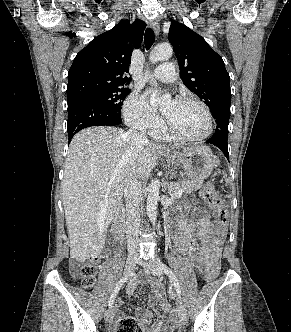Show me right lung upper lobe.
Returning a JSON list of instances; mask_svg holds the SVG:
<instances>
[{
	"label": "right lung upper lobe",
	"mask_w": 291,
	"mask_h": 332,
	"mask_svg": "<svg viewBox=\"0 0 291 332\" xmlns=\"http://www.w3.org/2000/svg\"><path fill=\"white\" fill-rule=\"evenodd\" d=\"M145 27V22L138 19L132 24L123 20L93 39L76 55L69 69L67 97L130 83L126 73L133 50L131 43L140 47Z\"/></svg>",
	"instance_id": "obj_1"
}]
</instances>
